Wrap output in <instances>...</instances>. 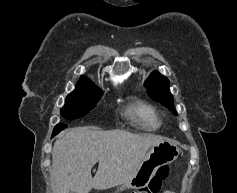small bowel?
I'll use <instances>...</instances> for the list:
<instances>
[{"label":"small bowel","mask_w":237,"mask_h":193,"mask_svg":"<svg viewBox=\"0 0 237 193\" xmlns=\"http://www.w3.org/2000/svg\"><path fill=\"white\" fill-rule=\"evenodd\" d=\"M163 193H175V188L174 187H169L166 190H164Z\"/></svg>","instance_id":"1"}]
</instances>
